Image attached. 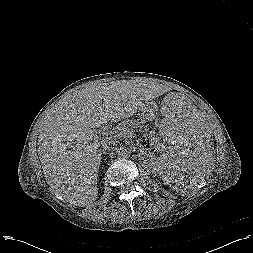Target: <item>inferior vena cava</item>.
<instances>
[{"label": "inferior vena cava", "mask_w": 253, "mask_h": 253, "mask_svg": "<svg viewBox=\"0 0 253 253\" xmlns=\"http://www.w3.org/2000/svg\"><path fill=\"white\" fill-rule=\"evenodd\" d=\"M111 144L114 145V143H112V141H111ZM104 149L107 150V151H109L110 155L113 154V151L118 150L116 147H114L112 145L110 146V145H107V144L104 145Z\"/></svg>", "instance_id": "obj_1"}]
</instances>
